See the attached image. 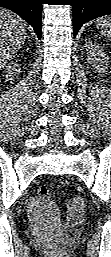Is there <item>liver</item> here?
Wrapping results in <instances>:
<instances>
[{"instance_id":"liver-1","label":"liver","mask_w":111,"mask_h":257,"mask_svg":"<svg viewBox=\"0 0 111 257\" xmlns=\"http://www.w3.org/2000/svg\"><path fill=\"white\" fill-rule=\"evenodd\" d=\"M27 37L26 23L7 9L0 11V66L3 67L21 49Z\"/></svg>"}]
</instances>
